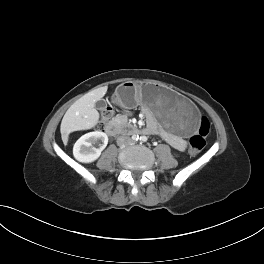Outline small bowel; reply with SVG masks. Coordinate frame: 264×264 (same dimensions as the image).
Here are the masks:
<instances>
[{
	"label": "small bowel",
	"mask_w": 264,
	"mask_h": 264,
	"mask_svg": "<svg viewBox=\"0 0 264 264\" xmlns=\"http://www.w3.org/2000/svg\"><path fill=\"white\" fill-rule=\"evenodd\" d=\"M148 132L150 134H158L165 138L174 148L182 150L185 147L184 141L173 134L162 131L155 123H150L148 126Z\"/></svg>",
	"instance_id": "obj_1"
}]
</instances>
